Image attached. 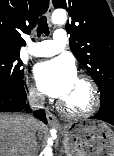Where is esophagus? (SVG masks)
Listing matches in <instances>:
<instances>
[{"mask_svg":"<svg viewBox=\"0 0 114 156\" xmlns=\"http://www.w3.org/2000/svg\"><path fill=\"white\" fill-rule=\"evenodd\" d=\"M52 12H53V5H52V2L50 1L49 7H48V10H47V18H48L49 23H50L51 26H53V23L51 21ZM46 117H47L48 123L50 125L59 126L58 120H57L56 116L53 113L47 111L46 112Z\"/></svg>","mask_w":114,"mask_h":156,"instance_id":"34e87169","label":"esophagus"}]
</instances>
